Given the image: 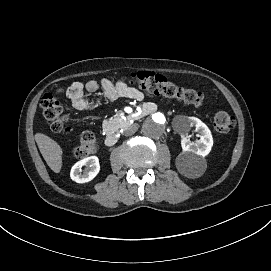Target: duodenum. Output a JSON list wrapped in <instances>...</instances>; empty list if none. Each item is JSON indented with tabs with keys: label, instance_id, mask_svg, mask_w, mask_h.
<instances>
[{
	"label": "duodenum",
	"instance_id": "duodenum-1",
	"mask_svg": "<svg viewBox=\"0 0 271 271\" xmlns=\"http://www.w3.org/2000/svg\"><path fill=\"white\" fill-rule=\"evenodd\" d=\"M147 110H143L139 115H143L146 113ZM117 143V137L115 134L113 133H110V134H107L106 137H105V144L106 146L108 147H112L114 146L115 144Z\"/></svg>",
	"mask_w": 271,
	"mask_h": 271
}]
</instances>
